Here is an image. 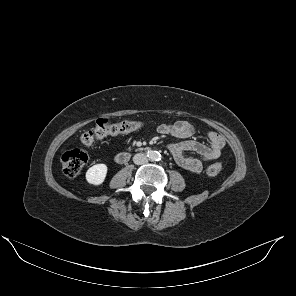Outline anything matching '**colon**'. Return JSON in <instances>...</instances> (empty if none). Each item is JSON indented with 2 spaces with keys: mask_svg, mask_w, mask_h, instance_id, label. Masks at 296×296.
Returning <instances> with one entry per match:
<instances>
[{
  "mask_svg": "<svg viewBox=\"0 0 296 296\" xmlns=\"http://www.w3.org/2000/svg\"><path fill=\"white\" fill-rule=\"evenodd\" d=\"M144 125V121L126 118L118 122H112L108 119H100L96 126L85 131L81 136V143L91 145L96 141L110 135H117L136 130ZM88 156L86 151L80 147L65 149L61 156L62 169L66 176L75 177L80 173L87 162ZM222 171L221 163H214L207 169L210 176H216Z\"/></svg>",
  "mask_w": 296,
  "mask_h": 296,
  "instance_id": "colon-1",
  "label": "colon"
}]
</instances>
